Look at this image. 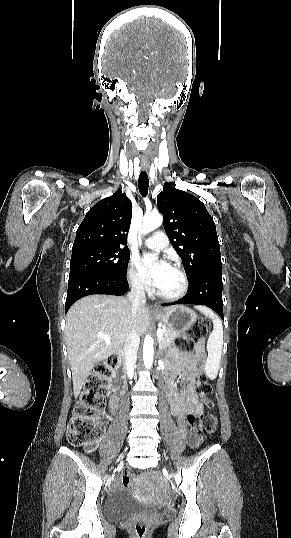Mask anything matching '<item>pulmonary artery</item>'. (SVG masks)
Segmentation results:
<instances>
[{"instance_id":"e3ab8cb5","label":"pulmonary artery","mask_w":291,"mask_h":538,"mask_svg":"<svg viewBox=\"0 0 291 538\" xmlns=\"http://www.w3.org/2000/svg\"><path fill=\"white\" fill-rule=\"evenodd\" d=\"M144 244L151 249L163 250L169 245L166 234L162 231H156L151 237L144 240Z\"/></svg>"}]
</instances>
